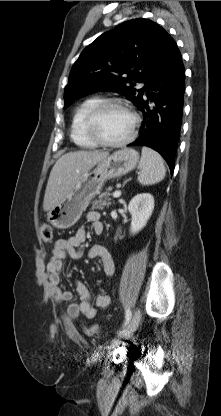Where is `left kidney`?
Wrapping results in <instances>:
<instances>
[{"mask_svg": "<svg viewBox=\"0 0 221 416\" xmlns=\"http://www.w3.org/2000/svg\"><path fill=\"white\" fill-rule=\"evenodd\" d=\"M154 198L150 193L137 194L130 201L128 210L132 216L130 233L136 234L142 230L152 215Z\"/></svg>", "mask_w": 221, "mask_h": 416, "instance_id": "5707ae66", "label": "left kidney"}]
</instances>
